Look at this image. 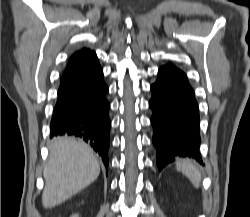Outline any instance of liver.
<instances>
[{
	"instance_id": "obj_1",
	"label": "liver",
	"mask_w": 250,
	"mask_h": 217,
	"mask_svg": "<svg viewBox=\"0 0 250 217\" xmlns=\"http://www.w3.org/2000/svg\"><path fill=\"white\" fill-rule=\"evenodd\" d=\"M49 152L42 194L45 208L63 203L94 182L100 173V165L93 150L84 142L70 137H57L51 141Z\"/></svg>"
}]
</instances>
